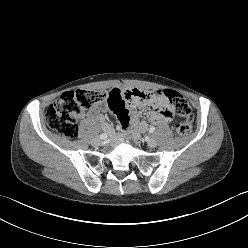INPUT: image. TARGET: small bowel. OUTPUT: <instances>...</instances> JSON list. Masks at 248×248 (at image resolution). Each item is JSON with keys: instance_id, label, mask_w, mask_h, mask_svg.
<instances>
[{"instance_id": "obj_1", "label": "small bowel", "mask_w": 248, "mask_h": 248, "mask_svg": "<svg viewBox=\"0 0 248 248\" xmlns=\"http://www.w3.org/2000/svg\"><path fill=\"white\" fill-rule=\"evenodd\" d=\"M106 97L108 102L100 106V109L109 108L118 117L122 129H127L131 125V117L136 114L140 105L151 106V121L154 124L166 123L173 119V114L169 112V102L162 93L153 94L138 88L124 89L122 86H109L106 89ZM90 114L102 122L108 134L113 135L111 125L98 115L97 110L91 111ZM135 128L144 132L148 129V125L141 121L135 125Z\"/></svg>"}]
</instances>
